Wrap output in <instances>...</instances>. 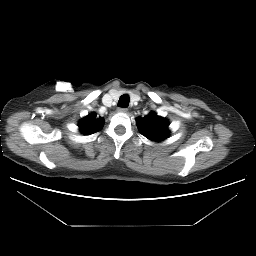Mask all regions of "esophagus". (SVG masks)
Wrapping results in <instances>:
<instances>
[{
	"instance_id": "obj_1",
	"label": "esophagus",
	"mask_w": 256,
	"mask_h": 256,
	"mask_svg": "<svg viewBox=\"0 0 256 256\" xmlns=\"http://www.w3.org/2000/svg\"><path fill=\"white\" fill-rule=\"evenodd\" d=\"M128 109L127 108H119L118 109V112H121V113H127Z\"/></svg>"
}]
</instances>
